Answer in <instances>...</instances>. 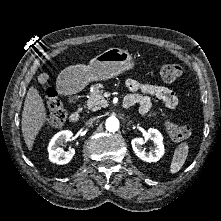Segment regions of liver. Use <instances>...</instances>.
<instances>
[{
  "instance_id": "obj_1",
  "label": "liver",
  "mask_w": 221,
  "mask_h": 221,
  "mask_svg": "<svg viewBox=\"0 0 221 221\" xmlns=\"http://www.w3.org/2000/svg\"><path fill=\"white\" fill-rule=\"evenodd\" d=\"M46 120L44 101L38 90L31 86L25 98L21 121L23 138L29 150H32L36 136Z\"/></svg>"
}]
</instances>
